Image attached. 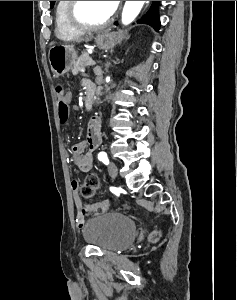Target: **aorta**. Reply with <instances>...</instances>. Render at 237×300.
Returning <instances> with one entry per match:
<instances>
[{"instance_id": "1", "label": "aorta", "mask_w": 237, "mask_h": 300, "mask_svg": "<svg viewBox=\"0 0 237 300\" xmlns=\"http://www.w3.org/2000/svg\"><path fill=\"white\" fill-rule=\"evenodd\" d=\"M145 1H126L122 11L123 25H130L138 17Z\"/></svg>"}]
</instances>
